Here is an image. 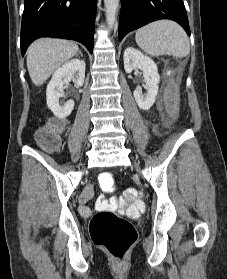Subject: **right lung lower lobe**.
<instances>
[{
  "instance_id": "obj_1",
  "label": "right lung lower lobe",
  "mask_w": 227,
  "mask_h": 279,
  "mask_svg": "<svg viewBox=\"0 0 227 279\" xmlns=\"http://www.w3.org/2000/svg\"><path fill=\"white\" fill-rule=\"evenodd\" d=\"M96 0H24L21 53L40 37L76 40L93 51Z\"/></svg>"
}]
</instances>
